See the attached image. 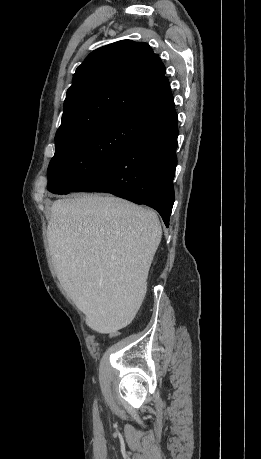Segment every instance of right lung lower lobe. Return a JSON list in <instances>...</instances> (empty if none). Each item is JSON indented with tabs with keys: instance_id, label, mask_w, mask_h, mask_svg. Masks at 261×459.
<instances>
[{
	"instance_id": "obj_1",
	"label": "right lung lower lobe",
	"mask_w": 261,
	"mask_h": 459,
	"mask_svg": "<svg viewBox=\"0 0 261 459\" xmlns=\"http://www.w3.org/2000/svg\"><path fill=\"white\" fill-rule=\"evenodd\" d=\"M177 114L152 123L121 155L73 191L107 192L158 211L165 225L174 203Z\"/></svg>"
}]
</instances>
